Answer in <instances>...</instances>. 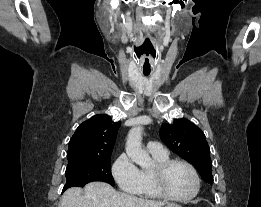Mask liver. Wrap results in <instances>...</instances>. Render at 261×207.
Returning <instances> with one entry per match:
<instances>
[{"mask_svg": "<svg viewBox=\"0 0 261 207\" xmlns=\"http://www.w3.org/2000/svg\"><path fill=\"white\" fill-rule=\"evenodd\" d=\"M166 204L118 192L104 182H91L84 192L78 187L65 191L60 207H163Z\"/></svg>", "mask_w": 261, "mask_h": 207, "instance_id": "liver-1", "label": "liver"}]
</instances>
